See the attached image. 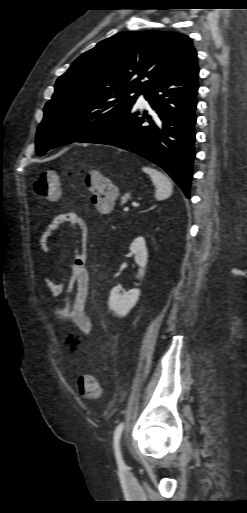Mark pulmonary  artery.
Here are the masks:
<instances>
[{
	"mask_svg": "<svg viewBox=\"0 0 247 513\" xmlns=\"http://www.w3.org/2000/svg\"><path fill=\"white\" fill-rule=\"evenodd\" d=\"M138 102L143 103V104H145V103H146V100H145V97H144V94H143V93H140V94L138 95Z\"/></svg>",
	"mask_w": 247,
	"mask_h": 513,
	"instance_id": "pulmonary-artery-1",
	"label": "pulmonary artery"
}]
</instances>
